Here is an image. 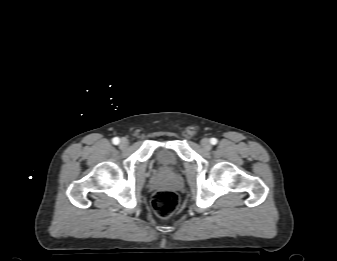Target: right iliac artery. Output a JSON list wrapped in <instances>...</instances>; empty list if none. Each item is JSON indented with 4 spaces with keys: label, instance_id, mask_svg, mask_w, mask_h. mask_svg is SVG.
I'll return each instance as SVG.
<instances>
[{
    "label": "right iliac artery",
    "instance_id": "1",
    "mask_svg": "<svg viewBox=\"0 0 337 261\" xmlns=\"http://www.w3.org/2000/svg\"><path fill=\"white\" fill-rule=\"evenodd\" d=\"M112 142H113V144L117 145V144H119L120 140H119L118 137H115V138H113Z\"/></svg>",
    "mask_w": 337,
    "mask_h": 261
}]
</instances>
